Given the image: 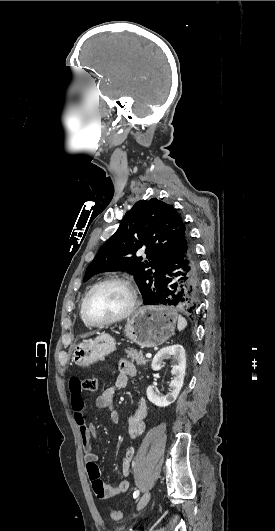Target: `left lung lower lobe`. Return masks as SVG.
<instances>
[{"instance_id": "left-lung-lower-lobe-1", "label": "left lung lower lobe", "mask_w": 275, "mask_h": 531, "mask_svg": "<svg viewBox=\"0 0 275 531\" xmlns=\"http://www.w3.org/2000/svg\"><path fill=\"white\" fill-rule=\"evenodd\" d=\"M200 269L191 237L186 231L170 259L165 286L149 305H169L194 315L200 302Z\"/></svg>"}]
</instances>
